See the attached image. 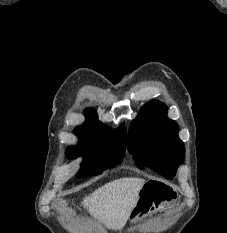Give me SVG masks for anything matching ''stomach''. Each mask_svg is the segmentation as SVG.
I'll use <instances>...</instances> for the list:
<instances>
[{
    "mask_svg": "<svg viewBox=\"0 0 227 233\" xmlns=\"http://www.w3.org/2000/svg\"><path fill=\"white\" fill-rule=\"evenodd\" d=\"M173 192L167 183L157 180L145 182L139 192V199L130 213V222L137 223L156 212L162 205L171 200Z\"/></svg>",
    "mask_w": 227,
    "mask_h": 233,
    "instance_id": "1",
    "label": "stomach"
}]
</instances>
